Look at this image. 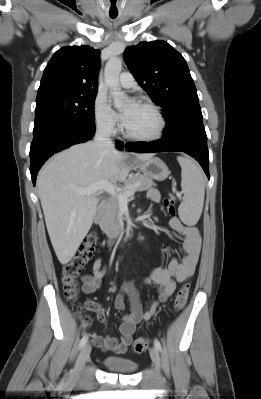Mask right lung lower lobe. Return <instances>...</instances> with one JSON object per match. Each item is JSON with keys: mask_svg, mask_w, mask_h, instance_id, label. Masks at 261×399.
<instances>
[{"mask_svg": "<svg viewBox=\"0 0 261 399\" xmlns=\"http://www.w3.org/2000/svg\"><path fill=\"white\" fill-rule=\"evenodd\" d=\"M95 129L65 118H51L34 123L33 141L30 148V172L33 184L36 183L38 171L53 154L76 143L86 142L93 138ZM119 150L122 142H116Z\"/></svg>", "mask_w": 261, "mask_h": 399, "instance_id": "right-lung-lower-lobe-1", "label": "right lung lower lobe"}]
</instances>
